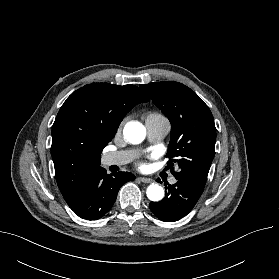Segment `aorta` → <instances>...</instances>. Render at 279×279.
<instances>
[{"label": "aorta", "mask_w": 279, "mask_h": 279, "mask_svg": "<svg viewBox=\"0 0 279 279\" xmlns=\"http://www.w3.org/2000/svg\"><path fill=\"white\" fill-rule=\"evenodd\" d=\"M123 135L128 142L139 144L145 139L146 129L140 122H128L123 129ZM146 194L151 201H160L164 197V189L159 184L152 183L148 186Z\"/></svg>", "instance_id": "obj_1"}]
</instances>
